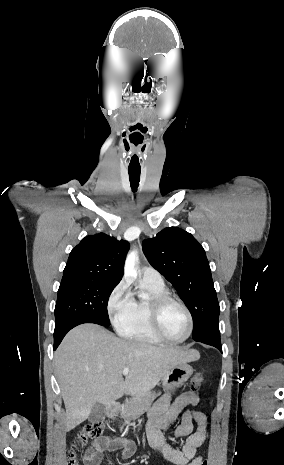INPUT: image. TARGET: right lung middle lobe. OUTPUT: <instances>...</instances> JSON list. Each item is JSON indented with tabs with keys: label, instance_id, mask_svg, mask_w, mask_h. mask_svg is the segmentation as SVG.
<instances>
[{
	"label": "right lung middle lobe",
	"instance_id": "right-lung-middle-lobe-1",
	"mask_svg": "<svg viewBox=\"0 0 284 465\" xmlns=\"http://www.w3.org/2000/svg\"><path fill=\"white\" fill-rule=\"evenodd\" d=\"M117 284L90 278L62 279L55 306V328L75 319H91L109 326V296Z\"/></svg>",
	"mask_w": 284,
	"mask_h": 465
}]
</instances>
